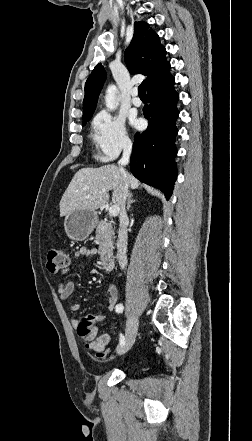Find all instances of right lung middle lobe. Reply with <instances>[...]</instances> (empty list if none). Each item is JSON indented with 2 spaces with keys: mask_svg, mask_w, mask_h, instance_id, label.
Listing matches in <instances>:
<instances>
[{
  "mask_svg": "<svg viewBox=\"0 0 252 441\" xmlns=\"http://www.w3.org/2000/svg\"><path fill=\"white\" fill-rule=\"evenodd\" d=\"M86 122H87V121H84V122L82 123V126H84V125L86 124Z\"/></svg>",
  "mask_w": 252,
  "mask_h": 441,
  "instance_id": "1",
  "label": "right lung middle lobe"
}]
</instances>
